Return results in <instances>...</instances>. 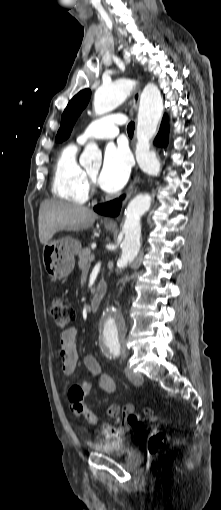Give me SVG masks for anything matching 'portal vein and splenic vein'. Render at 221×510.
I'll list each match as a JSON object with an SVG mask.
<instances>
[{
    "instance_id": "1",
    "label": "portal vein and splenic vein",
    "mask_w": 221,
    "mask_h": 510,
    "mask_svg": "<svg viewBox=\"0 0 221 510\" xmlns=\"http://www.w3.org/2000/svg\"><path fill=\"white\" fill-rule=\"evenodd\" d=\"M94 259H95L94 255H91V257L89 258L90 262L93 261Z\"/></svg>"
}]
</instances>
